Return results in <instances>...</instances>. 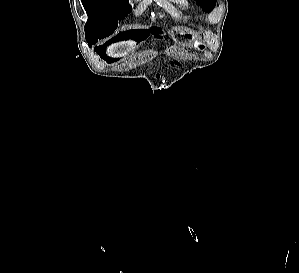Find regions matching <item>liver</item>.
<instances>
[{
	"mask_svg": "<svg viewBox=\"0 0 299 273\" xmlns=\"http://www.w3.org/2000/svg\"><path fill=\"white\" fill-rule=\"evenodd\" d=\"M136 48V45H132L130 43H119L114 45L110 49V55L117 56L119 54H125L127 55L130 52H133Z\"/></svg>",
	"mask_w": 299,
	"mask_h": 273,
	"instance_id": "6515ba94",
	"label": "liver"
}]
</instances>
